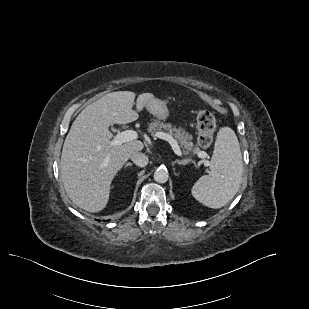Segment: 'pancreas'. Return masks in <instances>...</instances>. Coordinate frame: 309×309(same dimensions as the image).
I'll return each instance as SVG.
<instances>
[{
  "mask_svg": "<svg viewBox=\"0 0 309 309\" xmlns=\"http://www.w3.org/2000/svg\"><path fill=\"white\" fill-rule=\"evenodd\" d=\"M162 130L171 135L179 143L184 154L198 155L200 153V148L197 145H194L192 142V135L186 132L184 129L176 128L170 123H163L160 121H155L149 124L148 131L152 135L155 132H160Z\"/></svg>",
  "mask_w": 309,
  "mask_h": 309,
  "instance_id": "1",
  "label": "pancreas"
}]
</instances>
